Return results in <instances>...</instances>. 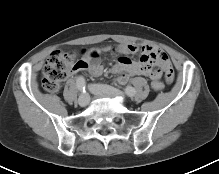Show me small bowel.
<instances>
[{
	"label": "small bowel",
	"instance_id": "small-bowel-1",
	"mask_svg": "<svg viewBox=\"0 0 219 174\" xmlns=\"http://www.w3.org/2000/svg\"><path fill=\"white\" fill-rule=\"evenodd\" d=\"M118 49L124 54V56L120 57L112 67L113 72L120 74L117 79L118 83L124 84L129 76L135 75H143L152 80H158L161 78L162 71L165 73L166 79L168 76L171 77L170 82H172L174 72L171 63L168 56L160 48L153 45L142 47L140 62L133 61L126 56L138 52V46L134 44H123L119 45ZM154 65L158 68L155 69L153 67ZM76 71H89L93 75H99L103 71V66L97 57H92L83 60Z\"/></svg>",
	"mask_w": 219,
	"mask_h": 174
}]
</instances>
